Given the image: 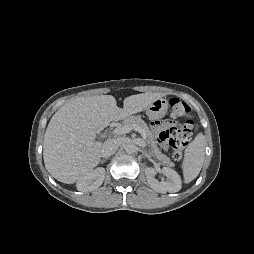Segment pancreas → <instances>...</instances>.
Returning a JSON list of instances; mask_svg holds the SVG:
<instances>
[{
    "mask_svg": "<svg viewBox=\"0 0 254 254\" xmlns=\"http://www.w3.org/2000/svg\"><path fill=\"white\" fill-rule=\"evenodd\" d=\"M121 124L123 126L135 124V125L139 126L140 128H142L148 137L147 143L150 147V153L153 156H155L157 159L162 161L163 163H166L169 165L172 164V161L170 160V158H168L165 154L161 153V151L159 150V148L156 144V141L153 138L151 131L149 130L148 125L141 119L140 116H128L122 120Z\"/></svg>",
    "mask_w": 254,
    "mask_h": 254,
    "instance_id": "cf45deb5",
    "label": "pancreas"
}]
</instances>
